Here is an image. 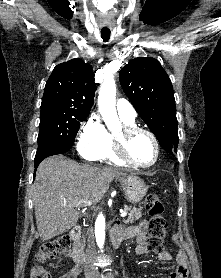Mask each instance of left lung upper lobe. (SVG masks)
Masks as SVG:
<instances>
[{
	"label": "left lung upper lobe",
	"mask_w": 221,
	"mask_h": 278,
	"mask_svg": "<svg viewBox=\"0 0 221 278\" xmlns=\"http://www.w3.org/2000/svg\"><path fill=\"white\" fill-rule=\"evenodd\" d=\"M123 91L169 153H177L176 106L171 80L154 58L138 57L119 72Z\"/></svg>",
	"instance_id": "left-lung-upper-lobe-1"
}]
</instances>
